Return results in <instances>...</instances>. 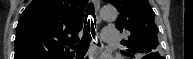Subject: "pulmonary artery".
I'll return each instance as SVG.
<instances>
[{"label":"pulmonary artery","mask_w":193,"mask_h":59,"mask_svg":"<svg viewBox=\"0 0 193 59\" xmlns=\"http://www.w3.org/2000/svg\"><path fill=\"white\" fill-rule=\"evenodd\" d=\"M114 28L112 27H107L104 32H103V36L102 39L104 42L106 43H115L117 38L115 36V34L113 33Z\"/></svg>","instance_id":"obj_1"}]
</instances>
